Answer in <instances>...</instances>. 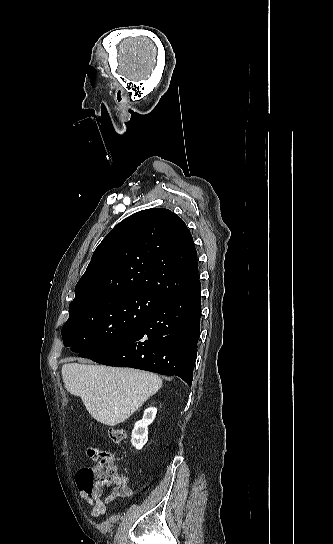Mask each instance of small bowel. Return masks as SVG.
<instances>
[{
    "label": "small bowel",
    "mask_w": 333,
    "mask_h": 544,
    "mask_svg": "<svg viewBox=\"0 0 333 544\" xmlns=\"http://www.w3.org/2000/svg\"><path fill=\"white\" fill-rule=\"evenodd\" d=\"M79 493L81 498L91 507V516L94 518L105 515L107 505L115 498L130 497L132 495L127 477H120L119 482L106 495L104 494V487H98L92 491L80 487Z\"/></svg>",
    "instance_id": "small-bowel-1"
}]
</instances>
